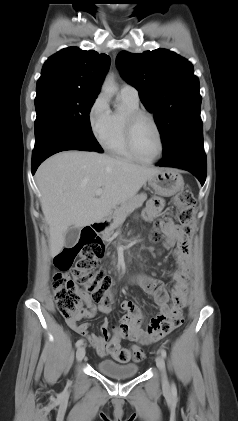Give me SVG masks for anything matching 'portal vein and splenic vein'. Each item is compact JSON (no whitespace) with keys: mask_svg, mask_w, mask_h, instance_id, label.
<instances>
[{"mask_svg":"<svg viewBox=\"0 0 238 421\" xmlns=\"http://www.w3.org/2000/svg\"><path fill=\"white\" fill-rule=\"evenodd\" d=\"M102 193H103V190L102 189H98V190H96L95 195L96 196H100Z\"/></svg>","mask_w":238,"mask_h":421,"instance_id":"obj_1","label":"portal vein and splenic vein"}]
</instances>
